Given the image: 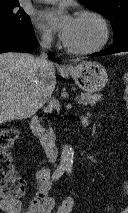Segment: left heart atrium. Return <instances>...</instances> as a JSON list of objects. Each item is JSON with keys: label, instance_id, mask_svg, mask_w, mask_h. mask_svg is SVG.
<instances>
[{"label": "left heart atrium", "instance_id": "left-heart-atrium-1", "mask_svg": "<svg viewBox=\"0 0 128 213\" xmlns=\"http://www.w3.org/2000/svg\"><path fill=\"white\" fill-rule=\"evenodd\" d=\"M75 22L76 18L64 7L48 9L37 18L40 28L58 34L65 44L70 40Z\"/></svg>", "mask_w": 128, "mask_h": 213}]
</instances>
